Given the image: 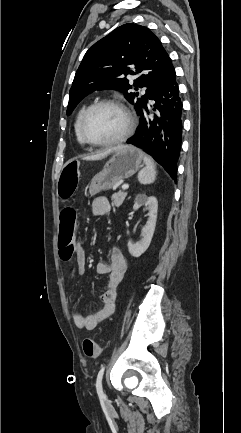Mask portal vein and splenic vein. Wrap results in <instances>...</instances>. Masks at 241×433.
Instances as JSON below:
<instances>
[{"instance_id": "18ae733b", "label": "portal vein and splenic vein", "mask_w": 241, "mask_h": 433, "mask_svg": "<svg viewBox=\"0 0 241 433\" xmlns=\"http://www.w3.org/2000/svg\"><path fill=\"white\" fill-rule=\"evenodd\" d=\"M129 188V185L128 184H124V185H122V190H127Z\"/></svg>"}]
</instances>
